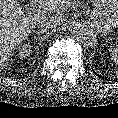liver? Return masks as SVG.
<instances>
[{
	"instance_id": "liver-1",
	"label": "liver",
	"mask_w": 118,
	"mask_h": 118,
	"mask_svg": "<svg viewBox=\"0 0 118 118\" xmlns=\"http://www.w3.org/2000/svg\"><path fill=\"white\" fill-rule=\"evenodd\" d=\"M48 1L31 0L33 3L41 2L43 13L56 19L59 24L63 18L54 14L69 4L70 0H52L51 4L47 5ZM40 15L37 13L30 16L23 13L17 0H0V67L7 66L13 51L18 49L29 33L34 31Z\"/></svg>"
}]
</instances>
